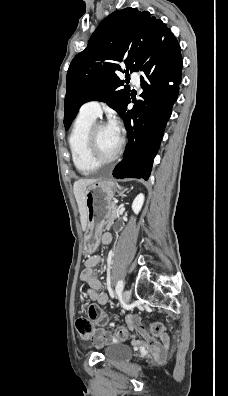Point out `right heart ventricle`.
Here are the masks:
<instances>
[{
  "mask_svg": "<svg viewBox=\"0 0 228 396\" xmlns=\"http://www.w3.org/2000/svg\"><path fill=\"white\" fill-rule=\"evenodd\" d=\"M94 120L93 117L80 114L69 136V147L74 165L85 175L92 174L98 169V166L89 160L86 151L87 134Z\"/></svg>",
  "mask_w": 228,
  "mask_h": 396,
  "instance_id": "right-heart-ventricle-1",
  "label": "right heart ventricle"
}]
</instances>
